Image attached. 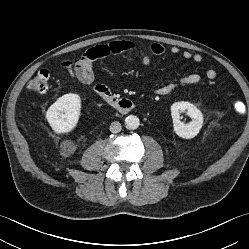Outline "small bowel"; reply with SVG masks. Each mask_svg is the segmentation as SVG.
<instances>
[{
	"label": "small bowel",
	"instance_id": "small-bowel-1",
	"mask_svg": "<svg viewBox=\"0 0 249 249\" xmlns=\"http://www.w3.org/2000/svg\"><path fill=\"white\" fill-rule=\"evenodd\" d=\"M170 53L177 55L180 53V48L172 46L169 49ZM166 52V48L161 43H153L149 47H144L133 40H112L94 46L88 49L81 57L77 59H69L65 61L64 65L68 69L72 78L80 81L85 85H91L94 82V63L103 58H108L115 55H126L132 59L139 60L144 66H148L151 62L152 55H163ZM181 56L186 60L199 63L202 61V55L185 50L181 53ZM208 79H215L217 73L214 69H209L206 72ZM201 76L197 73L188 74L182 78L168 82L166 84L156 86L153 92L158 96H165L170 94L174 89L179 86H189L200 83ZM94 91L97 94H101L105 91H110L108 86L103 83H96L93 86Z\"/></svg>",
	"mask_w": 249,
	"mask_h": 249
}]
</instances>
